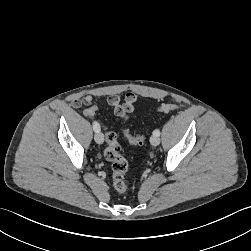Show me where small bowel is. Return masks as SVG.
Listing matches in <instances>:
<instances>
[{
  "mask_svg": "<svg viewBox=\"0 0 251 251\" xmlns=\"http://www.w3.org/2000/svg\"><path fill=\"white\" fill-rule=\"evenodd\" d=\"M137 99L138 97L135 93L129 92L125 95L123 102L121 101L118 95H110L107 99V102L110 106L113 107V110L116 116L124 120H127L129 116L134 112L135 103ZM86 105L87 107L85 109H87L88 107H94L95 114H96L98 110V106L91 104L90 96H83L82 98L73 100L70 103L71 108L77 111L82 110V108H84Z\"/></svg>",
  "mask_w": 251,
  "mask_h": 251,
  "instance_id": "1",
  "label": "small bowel"
}]
</instances>
